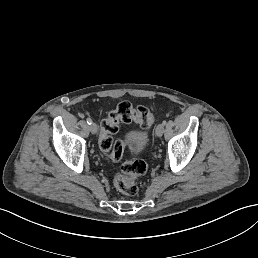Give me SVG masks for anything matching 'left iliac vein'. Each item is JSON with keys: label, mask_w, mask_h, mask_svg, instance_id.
Segmentation results:
<instances>
[{"label": "left iliac vein", "mask_w": 258, "mask_h": 258, "mask_svg": "<svg viewBox=\"0 0 258 258\" xmlns=\"http://www.w3.org/2000/svg\"><path fill=\"white\" fill-rule=\"evenodd\" d=\"M157 130V138H162V132L165 130L164 124H159L156 127Z\"/></svg>", "instance_id": "obj_1"}]
</instances>
